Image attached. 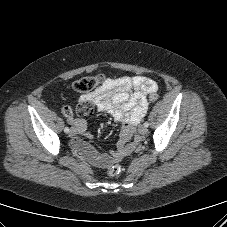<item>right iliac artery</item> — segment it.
I'll use <instances>...</instances> for the list:
<instances>
[{"label":"right iliac artery","mask_w":227,"mask_h":227,"mask_svg":"<svg viewBox=\"0 0 227 227\" xmlns=\"http://www.w3.org/2000/svg\"><path fill=\"white\" fill-rule=\"evenodd\" d=\"M69 131H70V130H69L68 127H65V128H64V132H65V133H69Z\"/></svg>","instance_id":"right-iliac-artery-1"}]
</instances>
